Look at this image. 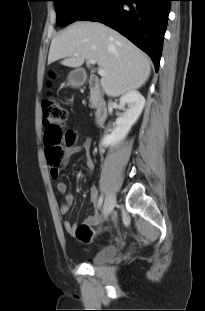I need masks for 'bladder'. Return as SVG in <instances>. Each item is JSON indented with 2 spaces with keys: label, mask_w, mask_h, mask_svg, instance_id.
Returning <instances> with one entry per match:
<instances>
[{
  "label": "bladder",
  "mask_w": 205,
  "mask_h": 311,
  "mask_svg": "<svg viewBox=\"0 0 205 311\" xmlns=\"http://www.w3.org/2000/svg\"><path fill=\"white\" fill-rule=\"evenodd\" d=\"M119 252L117 245L102 247L88 255V261L92 264H104L113 261Z\"/></svg>",
  "instance_id": "1"
}]
</instances>
